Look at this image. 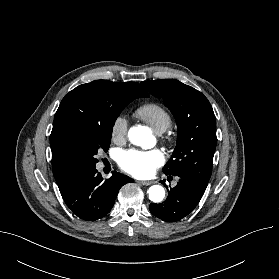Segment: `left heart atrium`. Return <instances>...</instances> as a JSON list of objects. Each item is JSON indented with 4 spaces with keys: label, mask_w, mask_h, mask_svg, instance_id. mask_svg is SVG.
Here are the masks:
<instances>
[{
    "label": "left heart atrium",
    "mask_w": 279,
    "mask_h": 279,
    "mask_svg": "<svg viewBox=\"0 0 279 279\" xmlns=\"http://www.w3.org/2000/svg\"><path fill=\"white\" fill-rule=\"evenodd\" d=\"M164 160V155L159 149H129L122 151L118 156L120 168L138 178L151 176Z\"/></svg>",
    "instance_id": "left-heart-atrium-1"
}]
</instances>
